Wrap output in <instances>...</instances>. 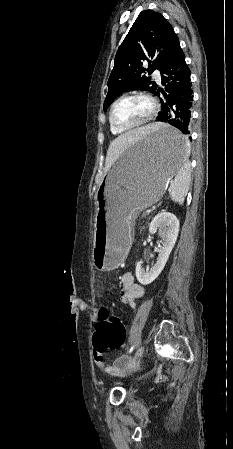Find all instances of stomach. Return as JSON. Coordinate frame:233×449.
Here are the masks:
<instances>
[{
  "label": "stomach",
  "instance_id": "stomach-1",
  "mask_svg": "<svg viewBox=\"0 0 233 449\" xmlns=\"http://www.w3.org/2000/svg\"><path fill=\"white\" fill-rule=\"evenodd\" d=\"M185 133L161 124L123 154L103 181L96 214L93 261L97 270L117 268L127 250L133 221L155 204L189 155Z\"/></svg>",
  "mask_w": 233,
  "mask_h": 449
}]
</instances>
